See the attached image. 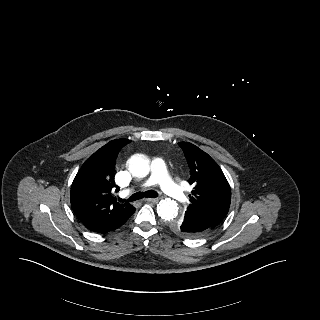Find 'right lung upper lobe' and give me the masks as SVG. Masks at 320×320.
<instances>
[{
	"instance_id": "obj_1",
	"label": "right lung upper lobe",
	"mask_w": 320,
	"mask_h": 320,
	"mask_svg": "<svg viewBox=\"0 0 320 320\" xmlns=\"http://www.w3.org/2000/svg\"><path fill=\"white\" fill-rule=\"evenodd\" d=\"M128 139H115L92 154L82 165L71 186V207L90 231L128 218L135 210L129 203H119L113 192L114 161Z\"/></svg>"
}]
</instances>
